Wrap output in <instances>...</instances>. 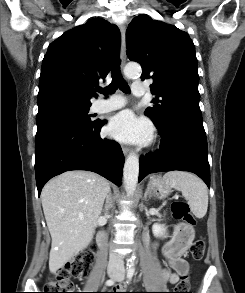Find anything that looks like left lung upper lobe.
I'll return each instance as SVG.
<instances>
[{
    "label": "left lung upper lobe",
    "instance_id": "5c2ea615",
    "mask_svg": "<svg viewBox=\"0 0 245 293\" xmlns=\"http://www.w3.org/2000/svg\"><path fill=\"white\" fill-rule=\"evenodd\" d=\"M126 47L129 59L142 66L141 79H154L150 87L157 97L145 114L155 124L171 115L202 120L195 46L186 32L139 15L127 28Z\"/></svg>",
    "mask_w": 245,
    "mask_h": 293
}]
</instances>
